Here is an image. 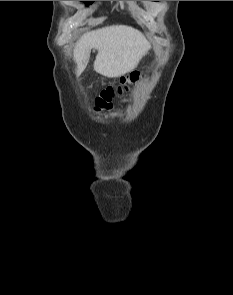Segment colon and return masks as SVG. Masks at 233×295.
I'll return each mask as SVG.
<instances>
[{"label": "colon", "instance_id": "obj_1", "mask_svg": "<svg viewBox=\"0 0 233 295\" xmlns=\"http://www.w3.org/2000/svg\"><path fill=\"white\" fill-rule=\"evenodd\" d=\"M139 79V73L133 72L129 75L122 76L116 80L114 85H109L101 91L96 98L95 109L98 112H105L112 108V100L116 95L127 91L131 84H134Z\"/></svg>", "mask_w": 233, "mask_h": 295}]
</instances>
